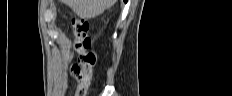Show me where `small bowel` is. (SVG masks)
<instances>
[{
  "mask_svg": "<svg viewBox=\"0 0 232 96\" xmlns=\"http://www.w3.org/2000/svg\"><path fill=\"white\" fill-rule=\"evenodd\" d=\"M75 66H80V68H81V74H79L78 87L82 82V77H85L88 80V84H89L90 78L92 76V69L86 65H75ZM88 84H86V87L88 86Z\"/></svg>",
  "mask_w": 232,
  "mask_h": 96,
  "instance_id": "obj_1",
  "label": "small bowel"
}]
</instances>
